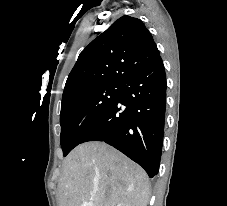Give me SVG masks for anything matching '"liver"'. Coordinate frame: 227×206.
I'll use <instances>...</instances> for the list:
<instances>
[{
    "instance_id": "obj_1",
    "label": "liver",
    "mask_w": 227,
    "mask_h": 206,
    "mask_svg": "<svg viewBox=\"0 0 227 206\" xmlns=\"http://www.w3.org/2000/svg\"><path fill=\"white\" fill-rule=\"evenodd\" d=\"M149 198L146 172L106 143L80 144L64 161L59 206H147Z\"/></svg>"
}]
</instances>
